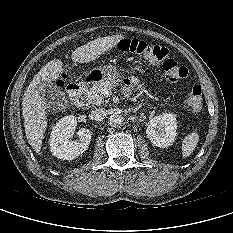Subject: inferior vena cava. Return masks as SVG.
<instances>
[{"label":"inferior vena cava","mask_w":233,"mask_h":233,"mask_svg":"<svg viewBox=\"0 0 233 233\" xmlns=\"http://www.w3.org/2000/svg\"><path fill=\"white\" fill-rule=\"evenodd\" d=\"M107 113L103 108H96L91 111V118L95 121H102L106 117Z\"/></svg>","instance_id":"602c4592"}]
</instances>
